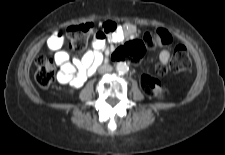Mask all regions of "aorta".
<instances>
[{"label":"aorta","instance_id":"1","mask_svg":"<svg viewBox=\"0 0 225 155\" xmlns=\"http://www.w3.org/2000/svg\"><path fill=\"white\" fill-rule=\"evenodd\" d=\"M129 70V66L127 65L126 62H118L117 65H116V71L119 73V74H125L127 73Z\"/></svg>","mask_w":225,"mask_h":155}]
</instances>
